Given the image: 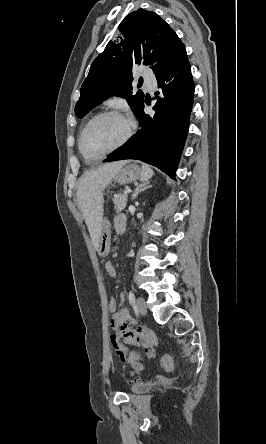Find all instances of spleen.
Here are the masks:
<instances>
[{"instance_id":"1","label":"spleen","mask_w":266,"mask_h":444,"mask_svg":"<svg viewBox=\"0 0 266 444\" xmlns=\"http://www.w3.org/2000/svg\"><path fill=\"white\" fill-rule=\"evenodd\" d=\"M142 170H143V180H148L153 174V170L147 165V164H143L142 165Z\"/></svg>"}]
</instances>
